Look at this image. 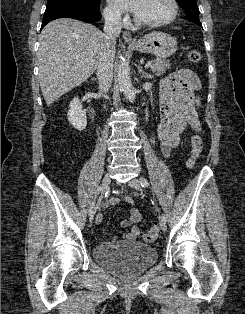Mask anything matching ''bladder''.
<instances>
[{
  "label": "bladder",
  "mask_w": 245,
  "mask_h": 314,
  "mask_svg": "<svg viewBox=\"0 0 245 314\" xmlns=\"http://www.w3.org/2000/svg\"><path fill=\"white\" fill-rule=\"evenodd\" d=\"M93 258L104 268L120 276L130 277L155 264L158 254L154 247L134 241L95 245Z\"/></svg>",
  "instance_id": "1"
}]
</instances>
